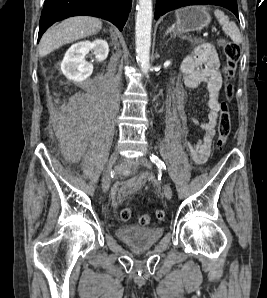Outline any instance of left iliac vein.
I'll return each instance as SVG.
<instances>
[{"mask_svg": "<svg viewBox=\"0 0 267 298\" xmlns=\"http://www.w3.org/2000/svg\"><path fill=\"white\" fill-rule=\"evenodd\" d=\"M136 162L145 166L146 168H149V169L152 168L151 162L146 157L141 156V157L137 158ZM163 192L167 199L172 198V195H173L172 188L168 183L164 184Z\"/></svg>", "mask_w": 267, "mask_h": 298, "instance_id": "left-iliac-vein-1", "label": "left iliac vein"}]
</instances>
